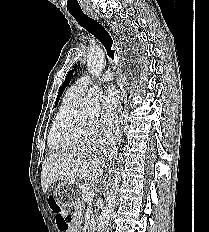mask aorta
<instances>
[{
    "instance_id": "762f6f07",
    "label": "aorta",
    "mask_w": 209,
    "mask_h": 232,
    "mask_svg": "<svg viewBox=\"0 0 209 232\" xmlns=\"http://www.w3.org/2000/svg\"><path fill=\"white\" fill-rule=\"evenodd\" d=\"M87 66L92 76L98 77L104 68V53L100 48H92L88 53ZM102 91L99 86L94 85L89 89L87 96L83 99L81 106L88 110L99 109V99ZM121 182V166H116L111 179L110 188L106 194V206L103 208L99 218L97 232H104L112 217L116 202L119 185Z\"/></svg>"
}]
</instances>
